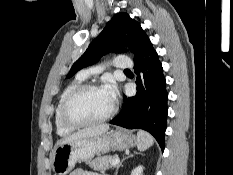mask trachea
Wrapping results in <instances>:
<instances>
[{"label":"trachea","instance_id":"1","mask_svg":"<svg viewBox=\"0 0 233 175\" xmlns=\"http://www.w3.org/2000/svg\"><path fill=\"white\" fill-rule=\"evenodd\" d=\"M124 71H130L129 69H125Z\"/></svg>","mask_w":233,"mask_h":175}]
</instances>
